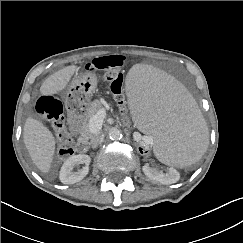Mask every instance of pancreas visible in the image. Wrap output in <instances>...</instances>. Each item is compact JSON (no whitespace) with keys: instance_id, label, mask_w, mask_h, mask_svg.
Instances as JSON below:
<instances>
[{"instance_id":"1","label":"pancreas","mask_w":243,"mask_h":243,"mask_svg":"<svg viewBox=\"0 0 243 243\" xmlns=\"http://www.w3.org/2000/svg\"><path fill=\"white\" fill-rule=\"evenodd\" d=\"M101 108H102V102L100 100L96 99L89 104L86 117L83 120L81 129H80V134L83 139L92 140V138H94L96 136V134L90 130L89 123H90L91 117L94 116Z\"/></svg>"}]
</instances>
